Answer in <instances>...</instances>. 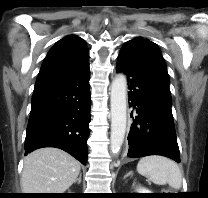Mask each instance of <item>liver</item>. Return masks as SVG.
Wrapping results in <instances>:
<instances>
[{"mask_svg": "<svg viewBox=\"0 0 208 198\" xmlns=\"http://www.w3.org/2000/svg\"><path fill=\"white\" fill-rule=\"evenodd\" d=\"M80 163L57 148H41L24 159L23 193H64L76 180Z\"/></svg>", "mask_w": 208, "mask_h": 198, "instance_id": "obj_1", "label": "liver"}]
</instances>
